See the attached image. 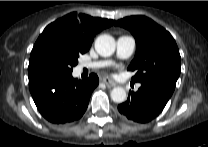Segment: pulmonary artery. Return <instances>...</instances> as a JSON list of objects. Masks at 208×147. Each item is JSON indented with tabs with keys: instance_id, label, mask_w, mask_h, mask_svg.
Segmentation results:
<instances>
[{
	"instance_id": "1",
	"label": "pulmonary artery",
	"mask_w": 208,
	"mask_h": 147,
	"mask_svg": "<svg viewBox=\"0 0 208 147\" xmlns=\"http://www.w3.org/2000/svg\"><path fill=\"white\" fill-rule=\"evenodd\" d=\"M135 46L136 43L133 37L126 35L120 36L116 41L117 57L120 59L129 58L133 54L135 50ZM110 64H111L110 60H100V61L83 63L81 67L96 69V68L108 66ZM136 87L139 88L140 84H137Z\"/></svg>"
}]
</instances>
